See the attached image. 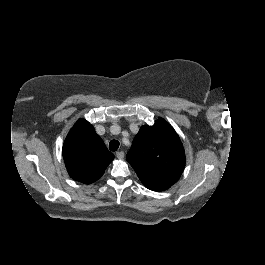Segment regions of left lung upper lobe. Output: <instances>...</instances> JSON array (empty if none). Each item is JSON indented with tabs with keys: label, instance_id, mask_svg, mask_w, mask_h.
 <instances>
[{
	"label": "left lung upper lobe",
	"instance_id": "1",
	"mask_svg": "<svg viewBox=\"0 0 265 265\" xmlns=\"http://www.w3.org/2000/svg\"><path fill=\"white\" fill-rule=\"evenodd\" d=\"M127 161L141 182L154 191L170 188L185 167V151L178 134L164 119L142 126L135 136Z\"/></svg>",
	"mask_w": 265,
	"mask_h": 265
}]
</instances>
